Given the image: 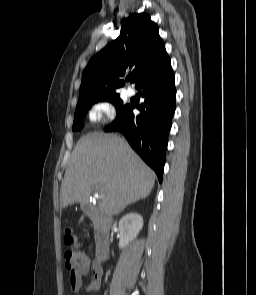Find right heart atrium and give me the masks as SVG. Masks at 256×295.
Instances as JSON below:
<instances>
[{
	"mask_svg": "<svg viewBox=\"0 0 256 295\" xmlns=\"http://www.w3.org/2000/svg\"><path fill=\"white\" fill-rule=\"evenodd\" d=\"M92 115L98 121H113L116 117V109L109 101H98L92 108Z\"/></svg>",
	"mask_w": 256,
	"mask_h": 295,
	"instance_id": "right-heart-atrium-1",
	"label": "right heart atrium"
}]
</instances>
